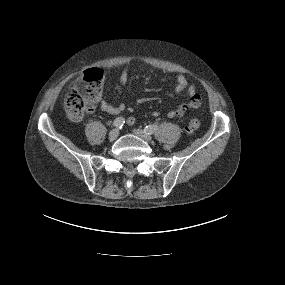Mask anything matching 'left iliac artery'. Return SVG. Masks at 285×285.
Segmentation results:
<instances>
[{
	"label": "left iliac artery",
	"mask_w": 285,
	"mask_h": 285,
	"mask_svg": "<svg viewBox=\"0 0 285 285\" xmlns=\"http://www.w3.org/2000/svg\"><path fill=\"white\" fill-rule=\"evenodd\" d=\"M158 129V126L155 124L153 125H148L144 128V131L147 133V134H153L156 130Z\"/></svg>",
	"instance_id": "obj_1"
}]
</instances>
